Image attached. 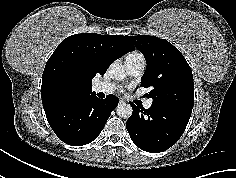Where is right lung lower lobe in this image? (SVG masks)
Instances as JSON below:
<instances>
[{
    "label": "right lung lower lobe",
    "instance_id": "1",
    "mask_svg": "<svg viewBox=\"0 0 236 178\" xmlns=\"http://www.w3.org/2000/svg\"><path fill=\"white\" fill-rule=\"evenodd\" d=\"M117 104L118 98L114 95L99 99L92 93L48 108L45 114L49 125L64 143L82 146L99 136Z\"/></svg>",
    "mask_w": 236,
    "mask_h": 178
}]
</instances>
